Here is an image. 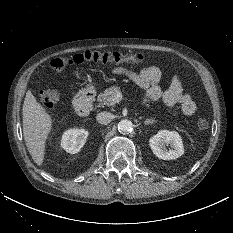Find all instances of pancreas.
I'll list each match as a JSON object with an SVG mask.
<instances>
[{"mask_svg": "<svg viewBox=\"0 0 233 233\" xmlns=\"http://www.w3.org/2000/svg\"><path fill=\"white\" fill-rule=\"evenodd\" d=\"M120 92H121L120 87L118 86L110 87L106 89L104 93H100L98 95V102L100 103V105L111 106L114 104V97L116 96L117 93H120ZM144 102H148V100L144 99ZM147 106L149 107L148 104Z\"/></svg>", "mask_w": 233, "mask_h": 233, "instance_id": "obj_1", "label": "pancreas"}]
</instances>
